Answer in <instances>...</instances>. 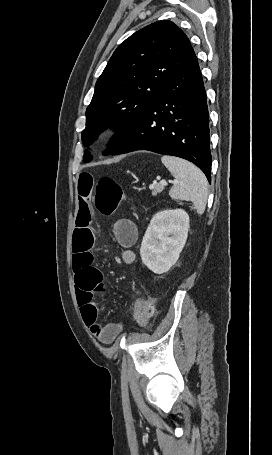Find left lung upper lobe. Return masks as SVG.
Returning a JSON list of instances; mask_svg holds the SVG:
<instances>
[{"mask_svg": "<svg viewBox=\"0 0 272 455\" xmlns=\"http://www.w3.org/2000/svg\"><path fill=\"white\" fill-rule=\"evenodd\" d=\"M195 58L188 37L171 21H157L127 38L96 82L86 109L84 146L105 128L116 127L105 152L112 153L169 80ZM91 159L85 151L84 162Z\"/></svg>", "mask_w": 272, "mask_h": 455, "instance_id": "5c2ea615", "label": "left lung upper lobe"}]
</instances>
